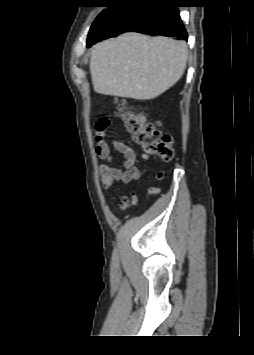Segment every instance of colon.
Segmentation results:
<instances>
[{"instance_id":"1","label":"colon","mask_w":254,"mask_h":355,"mask_svg":"<svg viewBox=\"0 0 254 355\" xmlns=\"http://www.w3.org/2000/svg\"><path fill=\"white\" fill-rule=\"evenodd\" d=\"M117 112L121 117L126 129L131 134L132 140L142 146L147 157H155L162 161H171L174 157L172 138L162 132L154 124L147 123L135 114L124 99L116 101ZM107 121L100 119L96 128L105 129Z\"/></svg>"}]
</instances>
